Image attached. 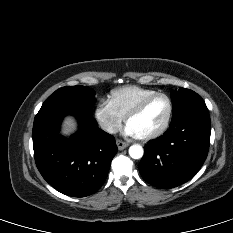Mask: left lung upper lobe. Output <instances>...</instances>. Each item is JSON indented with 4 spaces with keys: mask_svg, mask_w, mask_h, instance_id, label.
I'll use <instances>...</instances> for the list:
<instances>
[{
    "mask_svg": "<svg viewBox=\"0 0 233 233\" xmlns=\"http://www.w3.org/2000/svg\"><path fill=\"white\" fill-rule=\"evenodd\" d=\"M171 98L173 106L172 122L191 113H208L204 100L190 89L173 90Z\"/></svg>",
    "mask_w": 233,
    "mask_h": 233,
    "instance_id": "left-lung-upper-lobe-1",
    "label": "left lung upper lobe"
}]
</instances>
